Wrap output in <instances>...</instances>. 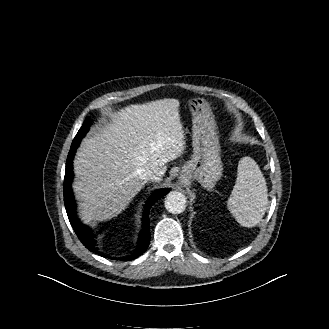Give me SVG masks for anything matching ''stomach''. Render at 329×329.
Here are the masks:
<instances>
[{
    "mask_svg": "<svg viewBox=\"0 0 329 329\" xmlns=\"http://www.w3.org/2000/svg\"><path fill=\"white\" fill-rule=\"evenodd\" d=\"M192 114L193 155L183 167V181L196 180L207 190H212L222 177L219 135L209 103L203 98L189 101Z\"/></svg>",
    "mask_w": 329,
    "mask_h": 329,
    "instance_id": "0dacf381",
    "label": "stomach"
}]
</instances>
